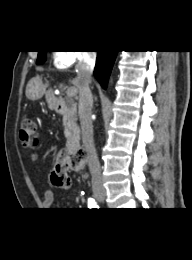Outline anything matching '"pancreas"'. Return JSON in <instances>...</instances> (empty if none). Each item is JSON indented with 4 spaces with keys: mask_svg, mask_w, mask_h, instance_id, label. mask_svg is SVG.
Instances as JSON below:
<instances>
[{
    "mask_svg": "<svg viewBox=\"0 0 192 260\" xmlns=\"http://www.w3.org/2000/svg\"><path fill=\"white\" fill-rule=\"evenodd\" d=\"M70 119H71V117H70V116H69V117H66V118H65V121H64V124H66V123H67V121H68V120H70Z\"/></svg>",
    "mask_w": 192,
    "mask_h": 260,
    "instance_id": "cf45deb5",
    "label": "pancreas"
}]
</instances>
